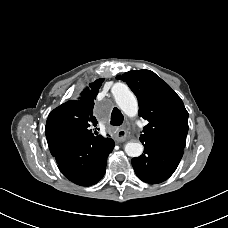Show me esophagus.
Masks as SVG:
<instances>
[{
    "label": "esophagus",
    "instance_id": "obj_1",
    "mask_svg": "<svg viewBox=\"0 0 228 228\" xmlns=\"http://www.w3.org/2000/svg\"><path fill=\"white\" fill-rule=\"evenodd\" d=\"M127 138V132L125 129L121 128L117 131L116 135H115V139L118 142H123L125 141Z\"/></svg>",
    "mask_w": 228,
    "mask_h": 228
}]
</instances>
